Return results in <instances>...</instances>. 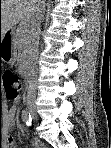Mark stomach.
Segmentation results:
<instances>
[{"instance_id": "1", "label": "stomach", "mask_w": 111, "mask_h": 148, "mask_svg": "<svg viewBox=\"0 0 111 148\" xmlns=\"http://www.w3.org/2000/svg\"><path fill=\"white\" fill-rule=\"evenodd\" d=\"M0 59L8 64L16 61V46L14 42H10L4 46L0 44Z\"/></svg>"}]
</instances>
